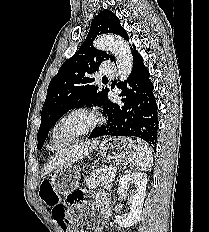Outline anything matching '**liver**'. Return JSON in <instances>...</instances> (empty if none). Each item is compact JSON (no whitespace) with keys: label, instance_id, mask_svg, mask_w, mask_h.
<instances>
[{"label":"liver","instance_id":"liver-1","mask_svg":"<svg viewBox=\"0 0 209 232\" xmlns=\"http://www.w3.org/2000/svg\"><path fill=\"white\" fill-rule=\"evenodd\" d=\"M98 144V140H93L91 142L80 143L64 149L47 163L44 174H48L53 170L68 166L75 161L82 159L84 156H87L90 151L95 149Z\"/></svg>","mask_w":209,"mask_h":232}]
</instances>
